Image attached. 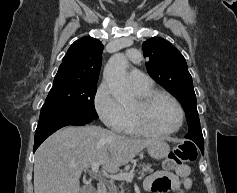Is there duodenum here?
Listing matches in <instances>:
<instances>
[{
    "mask_svg": "<svg viewBox=\"0 0 237 193\" xmlns=\"http://www.w3.org/2000/svg\"><path fill=\"white\" fill-rule=\"evenodd\" d=\"M97 193H106V188L103 183L97 184Z\"/></svg>",
    "mask_w": 237,
    "mask_h": 193,
    "instance_id": "1",
    "label": "duodenum"
}]
</instances>
